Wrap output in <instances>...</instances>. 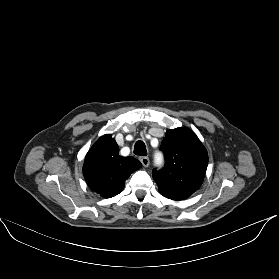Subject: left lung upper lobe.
<instances>
[{
	"label": "left lung upper lobe",
	"mask_w": 279,
	"mask_h": 279,
	"mask_svg": "<svg viewBox=\"0 0 279 279\" xmlns=\"http://www.w3.org/2000/svg\"><path fill=\"white\" fill-rule=\"evenodd\" d=\"M165 166L153 169L159 192L172 200H183L197 191L204 179L208 153L196 134L186 127L169 130L160 148Z\"/></svg>",
	"instance_id": "obj_1"
}]
</instances>
